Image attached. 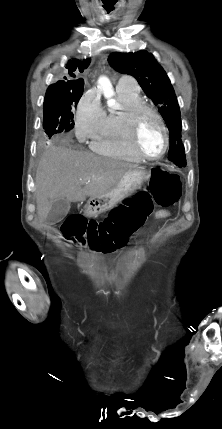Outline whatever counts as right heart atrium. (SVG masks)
Here are the masks:
<instances>
[{
  "instance_id": "d8ad5b80",
  "label": "right heart atrium",
  "mask_w": 222,
  "mask_h": 429,
  "mask_svg": "<svg viewBox=\"0 0 222 429\" xmlns=\"http://www.w3.org/2000/svg\"><path fill=\"white\" fill-rule=\"evenodd\" d=\"M104 119L105 112L97 95L85 93L77 104L74 116L77 138L82 142L92 139L101 129Z\"/></svg>"
}]
</instances>
